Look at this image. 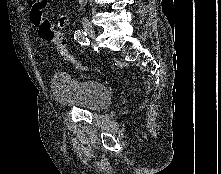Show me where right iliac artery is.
<instances>
[{"instance_id": "right-iliac-artery-1", "label": "right iliac artery", "mask_w": 221, "mask_h": 174, "mask_svg": "<svg viewBox=\"0 0 221 174\" xmlns=\"http://www.w3.org/2000/svg\"><path fill=\"white\" fill-rule=\"evenodd\" d=\"M74 39L81 45H84V46L89 45V39L87 37L86 32H84L83 30L75 31Z\"/></svg>"}]
</instances>
